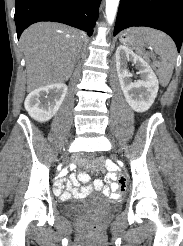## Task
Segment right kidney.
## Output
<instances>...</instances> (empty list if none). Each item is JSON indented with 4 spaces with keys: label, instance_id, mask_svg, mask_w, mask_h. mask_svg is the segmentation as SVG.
Masks as SVG:
<instances>
[{
    "label": "right kidney",
    "instance_id": "1",
    "mask_svg": "<svg viewBox=\"0 0 183 246\" xmlns=\"http://www.w3.org/2000/svg\"><path fill=\"white\" fill-rule=\"evenodd\" d=\"M64 83L39 87L29 93L24 106L28 114L38 122L49 121L59 110L67 93Z\"/></svg>",
    "mask_w": 183,
    "mask_h": 246
}]
</instances>
